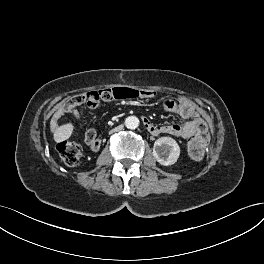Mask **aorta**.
<instances>
[{"label": "aorta", "instance_id": "762f6f07", "mask_svg": "<svg viewBox=\"0 0 264 264\" xmlns=\"http://www.w3.org/2000/svg\"><path fill=\"white\" fill-rule=\"evenodd\" d=\"M125 126L128 129H136L139 126V119L136 116H129L125 119Z\"/></svg>", "mask_w": 264, "mask_h": 264}]
</instances>
